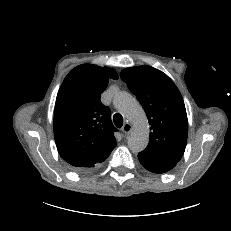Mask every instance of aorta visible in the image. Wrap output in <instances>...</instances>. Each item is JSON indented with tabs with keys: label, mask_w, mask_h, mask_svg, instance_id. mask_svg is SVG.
Instances as JSON below:
<instances>
[{
	"label": "aorta",
	"mask_w": 231,
	"mask_h": 231,
	"mask_svg": "<svg viewBox=\"0 0 231 231\" xmlns=\"http://www.w3.org/2000/svg\"><path fill=\"white\" fill-rule=\"evenodd\" d=\"M113 104L134 126L128 137V147L135 153L143 151L149 142V124L142 106L127 92L116 94Z\"/></svg>",
	"instance_id": "1"
}]
</instances>
